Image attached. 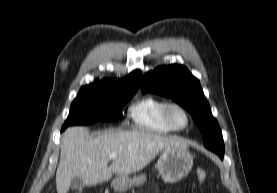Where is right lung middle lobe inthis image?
Instances as JSON below:
<instances>
[{
	"mask_svg": "<svg viewBox=\"0 0 277 193\" xmlns=\"http://www.w3.org/2000/svg\"><path fill=\"white\" fill-rule=\"evenodd\" d=\"M134 93L80 90L71 104L69 116L62 128L70 125H88L96 121H113Z\"/></svg>",
	"mask_w": 277,
	"mask_h": 193,
	"instance_id": "1",
	"label": "right lung middle lobe"
}]
</instances>
